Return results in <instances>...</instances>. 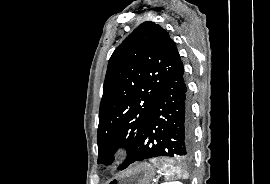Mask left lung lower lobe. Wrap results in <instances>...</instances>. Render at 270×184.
I'll return each mask as SVG.
<instances>
[{"label":"left lung lower lobe","mask_w":270,"mask_h":184,"mask_svg":"<svg viewBox=\"0 0 270 184\" xmlns=\"http://www.w3.org/2000/svg\"><path fill=\"white\" fill-rule=\"evenodd\" d=\"M193 155V124L182 61L163 86L131 163L154 157L184 161ZM124 168V169H125Z\"/></svg>","instance_id":"obj_1"}]
</instances>
